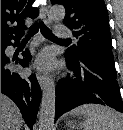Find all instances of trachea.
Returning <instances> with one entry per match:
<instances>
[{
    "instance_id": "trachea-1",
    "label": "trachea",
    "mask_w": 123,
    "mask_h": 130,
    "mask_svg": "<svg viewBox=\"0 0 123 130\" xmlns=\"http://www.w3.org/2000/svg\"><path fill=\"white\" fill-rule=\"evenodd\" d=\"M39 28H40L41 33L44 35V37L50 40L68 41V40H63V39H59L55 37V35L50 31V29L47 28L45 24L42 22L38 23L36 27H33L32 29H30V31L28 32V34L25 36L23 40L28 41L38 31Z\"/></svg>"
}]
</instances>
